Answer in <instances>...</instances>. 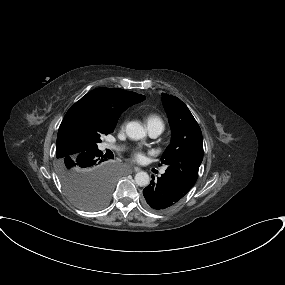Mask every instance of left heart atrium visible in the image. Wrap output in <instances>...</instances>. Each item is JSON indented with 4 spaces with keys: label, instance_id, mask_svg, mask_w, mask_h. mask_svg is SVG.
Masks as SVG:
<instances>
[{
    "label": "left heart atrium",
    "instance_id": "1",
    "mask_svg": "<svg viewBox=\"0 0 285 285\" xmlns=\"http://www.w3.org/2000/svg\"><path fill=\"white\" fill-rule=\"evenodd\" d=\"M133 158L136 161H141L144 158V153L141 150L137 149L133 152Z\"/></svg>",
    "mask_w": 285,
    "mask_h": 285
}]
</instances>
